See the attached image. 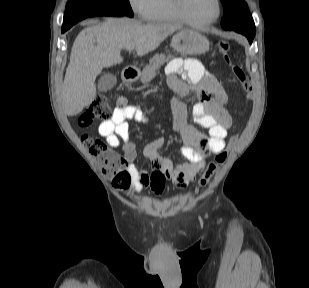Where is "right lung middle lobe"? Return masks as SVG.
I'll use <instances>...</instances> for the list:
<instances>
[{
  "label": "right lung middle lobe",
  "instance_id": "right-lung-middle-lobe-1",
  "mask_svg": "<svg viewBox=\"0 0 309 288\" xmlns=\"http://www.w3.org/2000/svg\"><path fill=\"white\" fill-rule=\"evenodd\" d=\"M97 12H117L133 17L129 0H69L62 28L69 29L79 20Z\"/></svg>",
  "mask_w": 309,
  "mask_h": 288
}]
</instances>
